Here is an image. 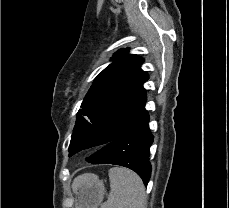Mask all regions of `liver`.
I'll return each instance as SVG.
<instances>
[{"instance_id":"1","label":"liver","mask_w":229,"mask_h":208,"mask_svg":"<svg viewBox=\"0 0 229 208\" xmlns=\"http://www.w3.org/2000/svg\"><path fill=\"white\" fill-rule=\"evenodd\" d=\"M92 178H95L94 174H82V176H77V178L73 180V184H72L73 192L75 188H78V186H81V184H85V182H88V180H92Z\"/></svg>"}]
</instances>
